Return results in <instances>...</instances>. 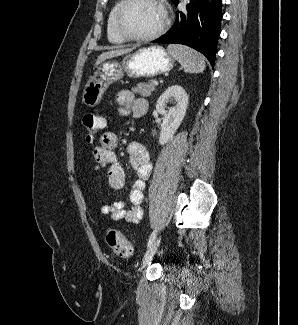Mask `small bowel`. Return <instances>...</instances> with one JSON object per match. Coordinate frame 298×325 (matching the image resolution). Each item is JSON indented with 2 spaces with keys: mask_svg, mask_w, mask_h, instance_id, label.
Instances as JSON below:
<instances>
[{
  "mask_svg": "<svg viewBox=\"0 0 298 325\" xmlns=\"http://www.w3.org/2000/svg\"><path fill=\"white\" fill-rule=\"evenodd\" d=\"M116 99L123 114H126L128 110H132L135 114L136 106L139 103H146L142 99H136L133 93L128 90L120 91ZM117 144L118 138L115 133L104 132L100 137V145L93 150V157L96 161L94 170L98 172L103 168H107L110 186L113 189L119 190L124 186L125 174L114 152ZM127 155L136 175L128 193L130 206L126 208L122 201L112 204L103 203L101 213L104 215L110 214L114 221L125 220L129 223H137L143 216L141 206L144 198L143 192L146 181L150 177L152 165L148 151L138 142H131L128 145Z\"/></svg>",
  "mask_w": 298,
  "mask_h": 325,
  "instance_id": "c3829d8e",
  "label": "small bowel"
}]
</instances>
